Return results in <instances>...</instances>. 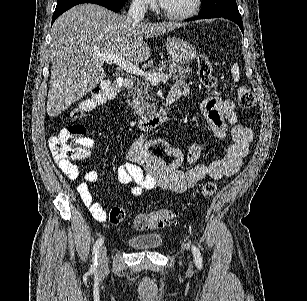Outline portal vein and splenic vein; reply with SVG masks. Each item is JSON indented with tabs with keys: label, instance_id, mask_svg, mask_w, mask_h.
<instances>
[{
	"label": "portal vein and splenic vein",
	"instance_id": "obj_1",
	"mask_svg": "<svg viewBox=\"0 0 307 301\" xmlns=\"http://www.w3.org/2000/svg\"><path fill=\"white\" fill-rule=\"evenodd\" d=\"M99 58H103L107 64H118L121 66L123 70L126 72H130V74H137V76H145L146 80L152 82V84H158L160 80H169L168 74H159V72H144L141 70L137 64H133L130 60H126L125 56H120V54H97Z\"/></svg>",
	"mask_w": 307,
	"mask_h": 301
}]
</instances>
